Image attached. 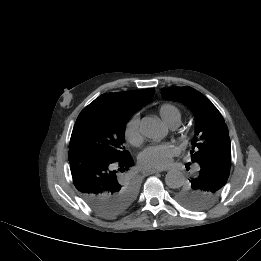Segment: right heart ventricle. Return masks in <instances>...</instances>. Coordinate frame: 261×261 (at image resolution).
Masks as SVG:
<instances>
[{
    "label": "right heart ventricle",
    "mask_w": 261,
    "mask_h": 261,
    "mask_svg": "<svg viewBox=\"0 0 261 261\" xmlns=\"http://www.w3.org/2000/svg\"><path fill=\"white\" fill-rule=\"evenodd\" d=\"M159 114L161 118L169 124L173 121H181V111L178 107L170 103H164L159 107Z\"/></svg>",
    "instance_id": "obj_1"
}]
</instances>
